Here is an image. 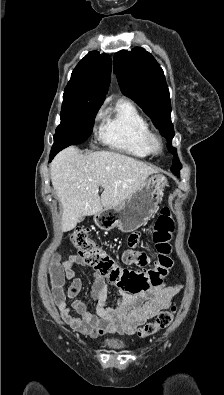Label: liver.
<instances>
[{"label": "liver", "instance_id": "obj_1", "mask_svg": "<svg viewBox=\"0 0 224 395\" xmlns=\"http://www.w3.org/2000/svg\"><path fill=\"white\" fill-rule=\"evenodd\" d=\"M52 185L62 206V230L74 229L81 216L119 205L156 170L115 151L82 154L76 147L62 150L50 165ZM103 189L99 196V188Z\"/></svg>", "mask_w": 224, "mask_h": 395}]
</instances>
